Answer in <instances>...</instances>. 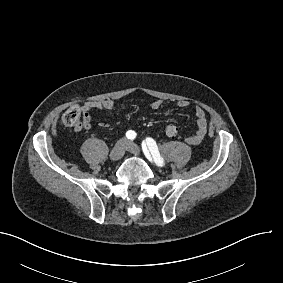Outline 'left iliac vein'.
<instances>
[{
  "label": "left iliac vein",
  "mask_w": 283,
  "mask_h": 283,
  "mask_svg": "<svg viewBox=\"0 0 283 283\" xmlns=\"http://www.w3.org/2000/svg\"><path fill=\"white\" fill-rule=\"evenodd\" d=\"M126 150L134 155H140L141 149L138 145L133 142H128L126 145Z\"/></svg>",
  "instance_id": "obj_1"
}]
</instances>
